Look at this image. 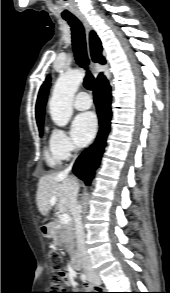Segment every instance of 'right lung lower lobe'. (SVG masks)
Listing matches in <instances>:
<instances>
[{
  "instance_id": "obj_1",
  "label": "right lung lower lobe",
  "mask_w": 170,
  "mask_h": 293,
  "mask_svg": "<svg viewBox=\"0 0 170 293\" xmlns=\"http://www.w3.org/2000/svg\"><path fill=\"white\" fill-rule=\"evenodd\" d=\"M111 88L104 76L97 78L94 101L97 107V113L100 123V131L95 143L86 149L76 160L73 172L77 177L83 180L86 185H90L94 175V170L98 167L102 153L105 147L106 137L110 130L111 120Z\"/></svg>"
}]
</instances>
